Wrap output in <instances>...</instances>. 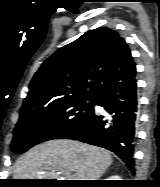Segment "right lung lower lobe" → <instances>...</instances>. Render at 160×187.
<instances>
[{
	"label": "right lung lower lobe",
	"mask_w": 160,
	"mask_h": 187,
	"mask_svg": "<svg viewBox=\"0 0 160 187\" xmlns=\"http://www.w3.org/2000/svg\"><path fill=\"white\" fill-rule=\"evenodd\" d=\"M136 68L133 63L121 77L100 91L95 105L105 112H93L66 139L79 140L114 152L135 172L133 158L137 123Z\"/></svg>",
	"instance_id": "right-lung-lower-lobe-1"
}]
</instances>
